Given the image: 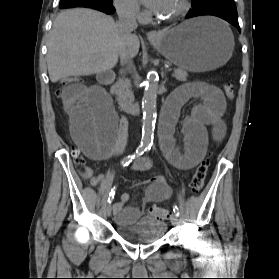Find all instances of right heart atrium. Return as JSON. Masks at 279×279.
<instances>
[{
    "mask_svg": "<svg viewBox=\"0 0 279 279\" xmlns=\"http://www.w3.org/2000/svg\"><path fill=\"white\" fill-rule=\"evenodd\" d=\"M114 6L118 14L123 18L143 19L146 16L137 0H114Z\"/></svg>",
    "mask_w": 279,
    "mask_h": 279,
    "instance_id": "1",
    "label": "right heart atrium"
}]
</instances>
